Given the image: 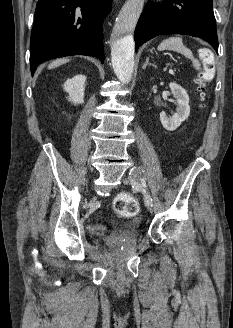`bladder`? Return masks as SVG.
Wrapping results in <instances>:
<instances>
[{"mask_svg":"<svg viewBox=\"0 0 233 328\" xmlns=\"http://www.w3.org/2000/svg\"><path fill=\"white\" fill-rule=\"evenodd\" d=\"M131 244H132V245H135V244H136V238H132V240H131Z\"/></svg>","mask_w":233,"mask_h":328,"instance_id":"1","label":"bladder"}]
</instances>
